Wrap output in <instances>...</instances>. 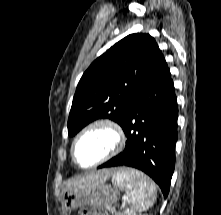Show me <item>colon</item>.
Masks as SVG:
<instances>
[{
    "mask_svg": "<svg viewBox=\"0 0 221 215\" xmlns=\"http://www.w3.org/2000/svg\"><path fill=\"white\" fill-rule=\"evenodd\" d=\"M79 215H109V213L98 208H83Z\"/></svg>",
    "mask_w": 221,
    "mask_h": 215,
    "instance_id": "colon-1",
    "label": "colon"
}]
</instances>
